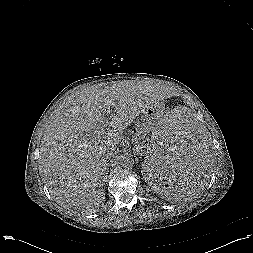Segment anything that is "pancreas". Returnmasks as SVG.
<instances>
[{"label": "pancreas", "instance_id": "pancreas-1", "mask_svg": "<svg viewBox=\"0 0 253 253\" xmlns=\"http://www.w3.org/2000/svg\"><path fill=\"white\" fill-rule=\"evenodd\" d=\"M136 132L138 134V143H139V147H141V145L144 147V139L147 137V134L149 132V127L146 126L144 123L139 125L136 129ZM149 150V149H148ZM150 151V150H149ZM151 152V151H150ZM145 153H148V151H146Z\"/></svg>", "mask_w": 253, "mask_h": 253}]
</instances>
